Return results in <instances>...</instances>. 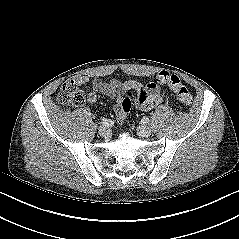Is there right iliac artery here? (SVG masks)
<instances>
[{
    "label": "right iliac artery",
    "mask_w": 239,
    "mask_h": 239,
    "mask_svg": "<svg viewBox=\"0 0 239 239\" xmlns=\"http://www.w3.org/2000/svg\"><path fill=\"white\" fill-rule=\"evenodd\" d=\"M103 126H111L112 125V121L108 120V119H103L102 122Z\"/></svg>",
    "instance_id": "82829eb1"
}]
</instances>
